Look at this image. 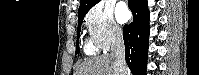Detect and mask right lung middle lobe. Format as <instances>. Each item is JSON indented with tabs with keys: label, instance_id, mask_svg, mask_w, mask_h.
I'll use <instances>...</instances> for the list:
<instances>
[{
	"label": "right lung middle lobe",
	"instance_id": "dd1d6c3e",
	"mask_svg": "<svg viewBox=\"0 0 199 75\" xmlns=\"http://www.w3.org/2000/svg\"><path fill=\"white\" fill-rule=\"evenodd\" d=\"M84 16L85 15L78 17L77 39L79 38V33H80V30H81L82 22L84 20ZM76 54H79V44H78V42L76 44Z\"/></svg>",
	"mask_w": 199,
	"mask_h": 75
}]
</instances>
